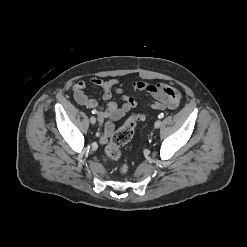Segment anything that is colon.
I'll list each match as a JSON object with an SVG mask.
<instances>
[{
  "label": "colon",
  "mask_w": 247,
  "mask_h": 247,
  "mask_svg": "<svg viewBox=\"0 0 247 247\" xmlns=\"http://www.w3.org/2000/svg\"><path fill=\"white\" fill-rule=\"evenodd\" d=\"M141 118V115H135L128 118L125 123L112 135L105 149L107 159L118 161L121 158V148L130 142L134 135L136 123ZM121 170L123 173H126L128 167L124 164L122 165Z\"/></svg>",
  "instance_id": "5ec220e1"
}]
</instances>
